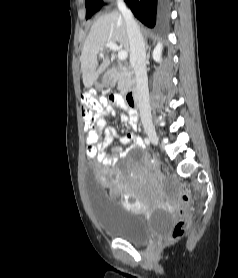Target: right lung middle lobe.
Instances as JSON below:
<instances>
[{
    "mask_svg": "<svg viewBox=\"0 0 238 278\" xmlns=\"http://www.w3.org/2000/svg\"><path fill=\"white\" fill-rule=\"evenodd\" d=\"M103 2L101 0H87L86 6V19L90 18L95 12H97Z\"/></svg>",
    "mask_w": 238,
    "mask_h": 278,
    "instance_id": "1",
    "label": "right lung middle lobe"
}]
</instances>
